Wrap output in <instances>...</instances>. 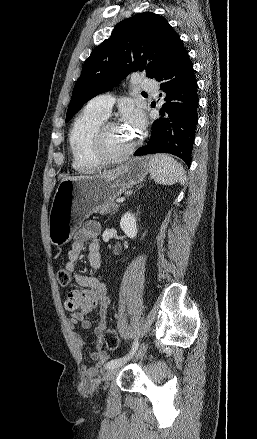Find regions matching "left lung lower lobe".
<instances>
[{
  "label": "left lung lower lobe",
  "instance_id": "0a47b994",
  "mask_svg": "<svg viewBox=\"0 0 257 439\" xmlns=\"http://www.w3.org/2000/svg\"><path fill=\"white\" fill-rule=\"evenodd\" d=\"M156 80L160 82L165 103L160 118L152 124L147 145L134 155L170 153L190 167L199 98L194 69L180 38L175 41L171 56Z\"/></svg>",
  "mask_w": 257,
  "mask_h": 439
}]
</instances>
